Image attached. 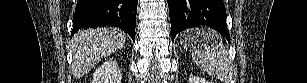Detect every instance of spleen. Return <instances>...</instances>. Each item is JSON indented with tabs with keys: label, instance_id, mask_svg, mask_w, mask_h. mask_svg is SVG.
<instances>
[{
	"label": "spleen",
	"instance_id": "obj_1",
	"mask_svg": "<svg viewBox=\"0 0 307 83\" xmlns=\"http://www.w3.org/2000/svg\"><path fill=\"white\" fill-rule=\"evenodd\" d=\"M193 31L192 59L196 65L207 74L229 83L232 76L231 59L222 44L221 37L210 29H193Z\"/></svg>",
	"mask_w": 307,
	"mask_h": 83
}]
</instances>
